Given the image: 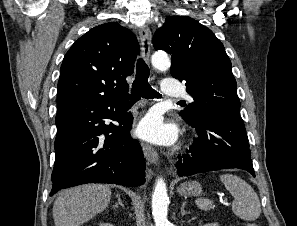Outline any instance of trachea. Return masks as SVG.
I'll use <instances>...</instances> for the list:
<instances>
[{"label": "trachea", "mask_w": 297, "mask_h": 226, "mask_svg": "<svg viewBox=\"0 0 297 226\" xmlns=\"http://www.w3.org/2000/svg\"><path fill=\"white\" fill-rule=\"evenodd\" d=\"M149 73L150 71L147 64L142 59H139L136 64V78L131 90L132 92L131 103L139 100L140 97H143L146 99H153V98L160 97L159 93L154 89H152V87L148 83ZM180 102H184V101H180Z\"/></svg>", "instance_id": "1"}]
</instances>
